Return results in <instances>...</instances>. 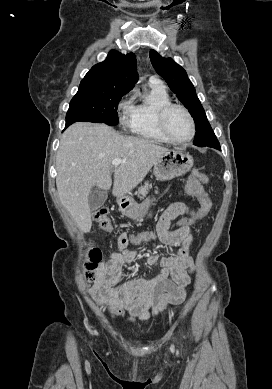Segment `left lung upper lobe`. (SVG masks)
I'll use <instances>...</instances> for the list:
<instances>
[{
    "mask_svg": "<svg viewBox=\"0 0 272 389\" xmlns=\"http://www.w3.org/2000/svg\"><path fill=\"white\" fill-rule=\"evenodd\" d=\"M151 63L157 73L168 83L181 103L189 110L196 124L194 145L207 146L216 136L207 120L205 111L196 95L195 88L186 71L171 58L161 57L155 50L149 53Z\"/></svg>",
    "mask_w": 272,
    "mask_h": 389,
    "instance_id": "5c2ea615",
    "label": "left lung upper lobe"
}]
</instances>
